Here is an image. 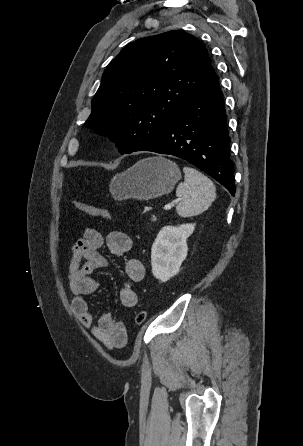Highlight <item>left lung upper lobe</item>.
<instances>
[{
	"instance_id": "obj_1",
	"label": "left lung upper lobe",
	"mask_w": 303,
	"mask_h": 446,
	"mask_svg": "<svg viewBox=\"0 0 303 446\" xmlns=\"http://www.w3.org/2000/svg\"><path fill=\"white\" fill-rule=\"evenodd\" d=\"M193 35L169 31L125 47L107 66L85 126L132 153L164 132L214 75Z\"/></svg>"
}]
</instances>
